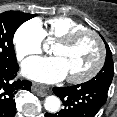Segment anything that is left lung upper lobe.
Here are the masks:
<instances>
[{
  "instance_id": "obj_1",
  "label": "left lung upper lobe",
  "mask_w": 117,
  "mask_h": 117,
  "mask_svg": "<svg viewBox=\"0 0 117 117\" xmlns=\"http://www.w3.org/2000/svg\"><path fill=\"white\" fill-rule=\"evenodd\" d=\"M105 46H106L105 64L103 68L100 70V72L93 79L88 81V83L97 87H101L105 90H108L112 82L114 69H113V60H112L111 50L106 42H105Z\"/></svg>"
}]
</instances>
